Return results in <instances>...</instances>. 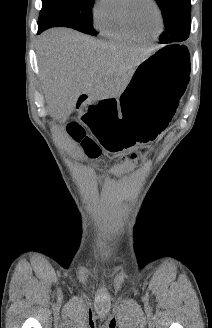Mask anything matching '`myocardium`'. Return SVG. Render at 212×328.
I'll return each mask as SVG.
<instances>
[{"instance_id": "1", "label": "myocardium", "mask_w": 212, "mask_h": 328, "mask_svg": "<svg viewBox=\"0 0 212 328\" xmlns=\"http://www.w3.org/2000/svg\"><path fill=\"white\" fill-rule=\"evenodd\" d=\"M137 2V0H127V4H126V18L128 21V24L130 25V27L133 29V31L137 34L141 33V29L140 27L137 25L134 16H133V8H134V4ZM149 2L153 5V7L155 8L157 14H158V18H159V28L158 30L155 32L156 35H159L163 29V25H164V18H163V14H162V10L159 6V4L157 3L156 0H149Z\"/></svg>"}]
</instances>
